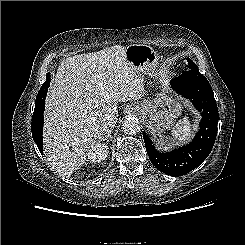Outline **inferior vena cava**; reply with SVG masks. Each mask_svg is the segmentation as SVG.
<instances>
[{"mask_svg": "<svg viewBox=\"0 0 245 245\" xmlns=\"http://www.w3.org/2000/svg\"><path fill=\"white\" fill-rule=\"evenodd\" d=\"M116 116L111 113H106L102 117V123L105 126L106 129L111 130L115 127L116 124Z\"/></svg>", "mask_w": 245, "mask_h": 245, "instance_id": "inferior-vena-cava-1", "label": "inferior vena cava"}]
</instances>
